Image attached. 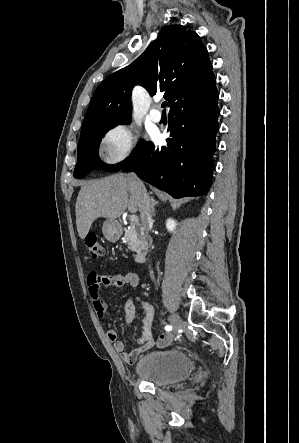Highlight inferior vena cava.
Segmentation results:
<instances>
[{"mask_svg": "<svg viewBox=\"0 0 299 443\" xmlns=\"http://www.w3.org/2000/svg\"><path fill=\"white\" fill-rule=\"evenodd\" d=\"M130 177L132 179L131 188L135 192L139 200V212L141 220L146 230L148 231L150 225L153 222L151 200L142 181H140L135 174H131ZM148 239L151 240V237L149 235Z\"/></svg>", "mask_w": 299, "mask_h": 443, "instance_id": "obj_1", "label": "inferior vena cava"}]
</instances>
